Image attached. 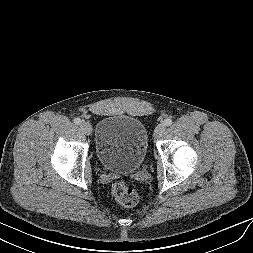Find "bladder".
<instances>
[{
	"label": "bladder",
	"instance_id": "obj_1",
	"mask_svg": "<svg viewBox=\"0 0 253 253\" xmlns=\"http://www.w3.org/2000/svg\"><path fill=\"white\" fill-rule=\"evenodd\" d=\"M149 145L145 125L127 115L103 117L95 129V155L102 167L115 172H133L144 162Z\"/></svg>",
	"mask_w": 253,
	"mask_h": 253
}]
</instances>
